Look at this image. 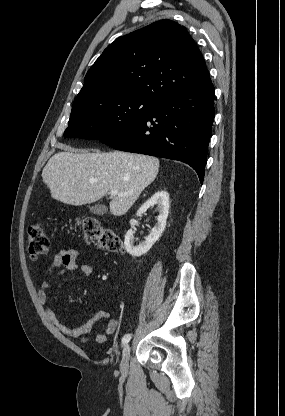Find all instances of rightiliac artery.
<instances>
[{"label": "right iliac artery", "mask_w": 285, "mask_h": 416, "mask_svg": "<svg viewBox=\"0 0 285 416\" xmlns=\"http://www.w3.org/2000/svg\"><path fill=\"white\" fill-rule=\"evenodd\" d=\"M130 339H131V334H126V335H124L123 336V338H122V344H127L129 341H130Z\"/></svg>", "instance_id": "right-iliac-artery-1"}]
</instances>
